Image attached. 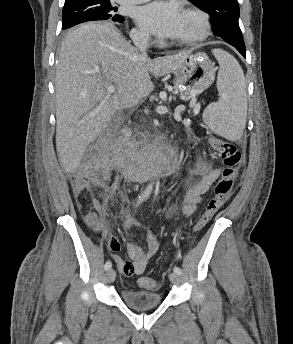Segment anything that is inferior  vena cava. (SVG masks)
<instances>
[{
	"instance_id": "602c4592",
	"label": "inferior vena cava",
	"mask_w": 293,
	"mask_h": 344,
	"mask_svg": "<svg viewBox=\"0 0 293 344\" xmlns=\"http://www.w3.org/2000/svg\"><path fill=\"white\" fill-rule=\"evenodd\" d=\"M134 45L139 50L142 57H147V48L149 42V35L144 32H132L130 35ZM126 107H131L134 103L127 97L126 98Z\"/></svg>"
}]
</instances>
